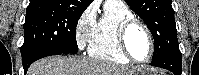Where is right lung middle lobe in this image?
<instances>
[{"mask_svg": "<svg viewBox=\"0 0 199 75\" xmlns=\"http://www.w3.org/2000/svg\"><path fill=\"white\" fill-rule=\"evenodd\" d=\"M83 12L63 6H28L21 53L38 47L51 53H78L76 26Z\"/></svg>", "mask_w": 199, "mask_h": 75, "instance_id": "obj_1", "label": "right lung middle lobe"}]
</instances>
